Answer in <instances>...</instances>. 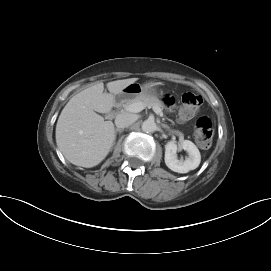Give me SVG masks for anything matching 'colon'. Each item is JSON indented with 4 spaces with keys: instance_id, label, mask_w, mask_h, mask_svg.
<instances>
[{
    "instance_id": "obj_1",
    "label": "colon",
    "mask_w": 271,
    "mask_h": 271,
    "mask_svg": "<svg viewBox=\"0 0 271 271\" xmlns=\"http://www.w3.org/2000/svg\"><path fill=\"white\" fill-rule=\"evenodd\" d=\"M202 104L201 96L194 93H185L181 99L179 110V120L186 121L192 118ZM213 126L211 120L206 116H201L195 123V138L201 148L207 149L211 146L213 139Z\"/></svg>"
}]
</instances>
